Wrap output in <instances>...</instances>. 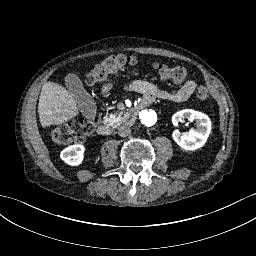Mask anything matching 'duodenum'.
<instances>
[{
	"mask_svg": "<svg viewBox=\"0 0 256 256\" xmlns=\"http://www.w3.org/2000/svg\"><path fill=\"white\" fill-rule=\"evenodd\" d=\"M114 91H115V83L112 80H105L102 83V86H100L97 89V96L100 99H107L110 96V94H112ZM147 106H148V101L141 100L140 102H138L133 106V114H139L140 111ZM97 133L102 137H106L111 135L112 128L108 124H101L97 129Z\"/></svg>",
	"mask_w": 256,
	"mask_h": 256,
	"instance_id": "410a0bca",
	"label": "duodenum"
}]
</instances>
